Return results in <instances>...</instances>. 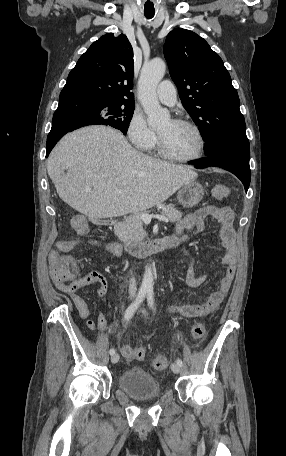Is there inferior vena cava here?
I'll return each instance as SVG.
<instances>
[{
  "mask_svg": "<svg viewBox=\"0 0 286 456\" xmlns=\"http://www.w3.org/2000/svg\"><path fill=\"white\" fill-rule=\"evenodd\" d=\"M137 291L136 280L132 277L129 281V294L135 296Z\"/></svg>",
  "mask_w": 286,
  "mask_h": 456,
  "instance_id": "obj_1",
  "label": "inferior vena cava"
}]
</instances>
